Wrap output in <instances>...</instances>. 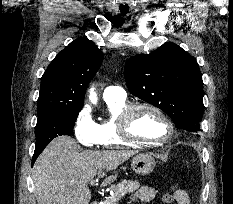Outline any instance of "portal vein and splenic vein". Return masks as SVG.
Returning a JSON list of instances; mask_svg holds the SVG:
<instances>
[{
    "label": "portal vein and splenic vein",
    "instance_id": "1",
    "mask_svg": "<svg viewBox=\"0 0 233 204\" xmlns=\"http://www.w3.org/2000/svg\"><path fill=\"white\" fill-rule=\"evenodd\" d=\"M96 182H97L96 180H91V182H90V183H91V185H95V184H96Z\"/></svg>",
    "mask_w": 233,
    "mask_h": 204
}]
</instances>
